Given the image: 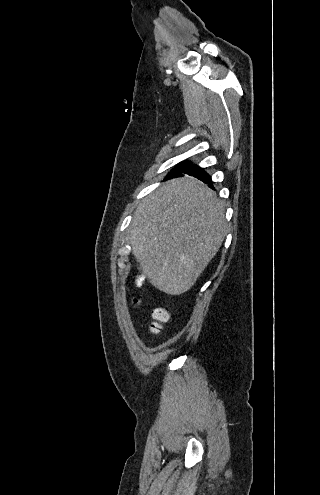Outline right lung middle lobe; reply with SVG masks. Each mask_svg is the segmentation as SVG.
I'll use <instances>...</instances> for the list:
<instances>
[{"instance_id":"obj_1","label":"right lung middle lobe","mask_w":320,"mask_h":495,"mask_svg":"<svg viewBox=\"0 0 320 495\" xmlns=\"http://www.w3.org/2000/svg\"><path fill=\"white\" fill-rule=\"evenodd\" d=\"M188 164V162H182L180 164H178L169 174L168 176L170 175H173L177 172H179L180 170H182L186 165Z\"/></svg>"}]
</instances>
